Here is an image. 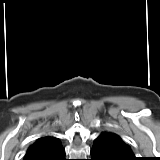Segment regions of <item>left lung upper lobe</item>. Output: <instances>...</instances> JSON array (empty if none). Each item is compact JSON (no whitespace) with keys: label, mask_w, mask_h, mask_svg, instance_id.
<instances>
[{"label":"left lung upper lobe","mask_w":160,"mask_h":160,"mask_svg":"<svg viewBox=\"0 0 160 160\" xmlns=\"http://www.w3.org/2000/svg\"><path fill=\"white\" fill-rule=\"evenodd\" d=\"M106 133H108V132H106ZM108 134L111 135L121 146H123L130 156L135 158V155L132 152L130 146L127 145L117 134H115V133H108Z\"/></svg>","instance_id":"1"}]
</instances>
